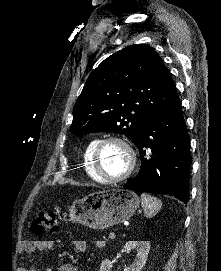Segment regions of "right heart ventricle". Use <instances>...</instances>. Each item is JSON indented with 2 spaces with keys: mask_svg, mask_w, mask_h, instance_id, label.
Masks as SVG:
<instances>
[{
  "mask_svg": "<svg viewBox=\"0 0 221 271\" xmlns=\"http://www.w3.org/2000/svg\"><path fill=\"white\" fill-rule=\"evenodd\" d=\"M94 139V137H90L84 145L82 160L86 159V161H83V166H85V171L89 172L91 179H98V183H107V178H102V174L96 171V167H99V162H97L95 154H93V150L97 149V144H91Z\"/></svg>",
  "mask_w": 221,
  "mask_h": 271,
  "instance_id": "1",
  "label": "right heart ventricle"
}]
</instances>
